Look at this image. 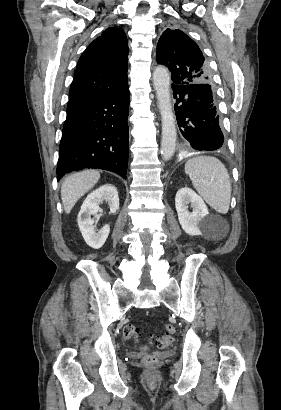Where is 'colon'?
Wrapping results in <instances>:
<instances>
[{
  "label": "colon",
  "instance_id": "5ec220e1",
  "mask_svg": "<svg viewBox=\"0 0 281 410\" xmlns=\"http://www.w3.org/2000/svg\"><path fill=\"white\" fill-rule=\"evenodd\" d=\"M175 327L172 324L165 325V333L154 340V345L157 348H164L172 344ZM123 336L127 341L137 342L139 340V328L133 324H127L123 328ZM156 357L153 354H148L144 357L146 364H154Z\"/></svg>",
  "mask_w": 281,
  "mask_h": 410
}]
</instances>
